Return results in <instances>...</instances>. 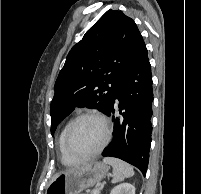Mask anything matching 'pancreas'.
Listing matches in <instances>:
<instances>
[{
	"label": "pancreas",
	"instance_id": "cf45deb5",
	"mask_svg": "<svg viewBox=\"0 0 201 194\" xmlns=\"http://www.w3.org/2000/svg\"><path fill=\"white\" fill-rule=\"evenodd\" d=\"M87 194H93V191H91V192H89V193H87Z\"/></svg>",
	"mask_w": 201,
	"mask_h": 194
}]
</instances>
